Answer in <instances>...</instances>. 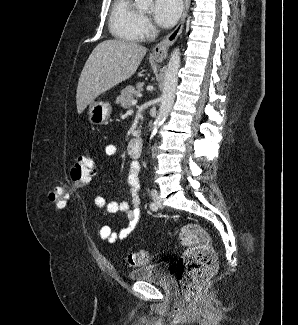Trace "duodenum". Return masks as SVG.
<instances>
[{
  "label": "duodenum",
  "mask_w": 298,
  "mask_h": 325,
  "mask_svg": "<svg viewBox=\"0 0 298 325\" xmlns=\"http://www.w3.org/2000/svg\"><path fill=\"white\" fill-rule=\"evenodd\" d=\"M143 150V141L140 137L133 138L128 144V151L129 154L134 157L138 158L141 156Z\"/></svg>",
  "instance_id": "410a0bca"
}]
</instances>
